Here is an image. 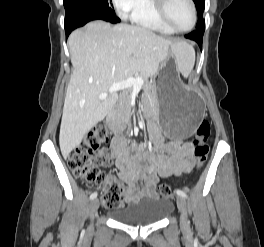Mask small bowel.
I'll use <instances>...</instances> for the list:
<instances>
[{"mask_svg":"<svg viewBox=\"0 0 264 247\" xmlns=\"http://www.w3.org/2000/svg\"><path fill=\"white\" fill-rule=\"evenodd\" d=\"M152 148L143 149L128 142L123 134L112 139L111 158L125 185V200L136 202L140 198H157L155 188L159 178L190 173L195 164L190 142L177 139L167 141L155 123L148 126Z\"/></svg>","mask_w":264,"mask_h":247,"instance_id":"c3829d8e","label":"small bowel"}]
</instances>
